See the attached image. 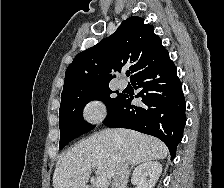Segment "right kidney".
<instances>
[{"label":"right kidney","instance_id":"ca27d5eb","mask_svg":"<svg viewBox=\"0 0 224 188\" xmlns=\"http://www.w3.org/2000/svg\"><path fill=\"white\" fill-rule=\"evenodd\" d=\"M162 172V165L149 161L139 165L132 174L131 182L135 188H153Z\"/></svg>","mask_w":224,"mask_h":188}]
</instances>
